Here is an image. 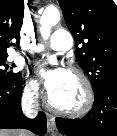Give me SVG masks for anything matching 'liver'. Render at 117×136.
<instances>
[{
	"label": "liver",
	"instance_id": "6515ba94",
	"mask_svg": "<svg viewBox=\"0 0 117 136\" xmlns=\"http://www.w3.org/2000/svg\"><path fill=\"white\" fill-rule=\"evenodd\" d=\"M0 136H29V133L25 131L0 130Z\"/></svg>",
	"mask_w": 117,
	"mask_h": 136
}]
</instances>
